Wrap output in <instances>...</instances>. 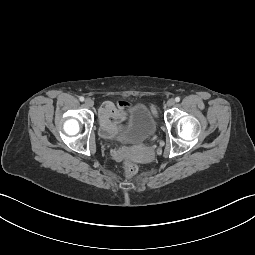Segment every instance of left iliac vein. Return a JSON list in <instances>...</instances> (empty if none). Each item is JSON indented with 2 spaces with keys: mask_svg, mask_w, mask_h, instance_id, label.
<instances>
[{
  "mask_svg": "<svg viewBox=\"0 0 255 255\" xmlns=\"http://www.w3.org/2000/svg\"><path fill=\"white\" fill-rule=\"evenodd\" d=\"M174 104H175V100L174 99H169L168 101H167V105L169 106V107H172V106H174Z\"/></svg>",
  "mask_w": 255,
  "mask_h": 255,
  "instance_id": "obj_1",
  "label": "left iliac vein"
}]
</instances>
